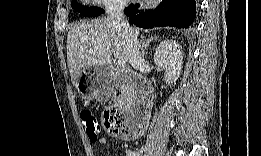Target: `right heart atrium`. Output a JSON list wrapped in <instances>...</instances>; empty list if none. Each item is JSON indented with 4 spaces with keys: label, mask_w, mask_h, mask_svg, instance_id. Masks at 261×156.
Wrapping results in <instances>:
<instances>
[{
    "label": "right heart atrium",
    "mask_w": 261,
    "mask_h": 156,
    "mask_svg": "<svg viewBox=\"0 0 261 156\" xmlns=\"http://www.w3.org/2000/svg\"><path fill=\"white\" fill-rule=\"evenodd\" d=\"M106 6H115L116 4L115 3H111V2H105L104 3Z\"/></svg>",
    "instance_id": "1"
}]
</instances>
